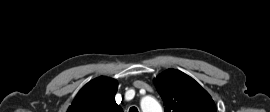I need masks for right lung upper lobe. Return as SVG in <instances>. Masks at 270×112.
<instances>
[{
    "label": "right lung upper lobe",
    "instance_id": "obj_1",
    "mask_svg": "<svg viewBox=\"0 0 270 112\" xmlns=\"http://www.w3.org/2000/svg\"><path fill=\"white\" fill-rule=\"evenodd\" d=\"M117 87L115 79L95 78L80 90L67 112H123L115 102Z\"/></svg>",
    "mask_w": 270,
    "mask_h": 112
}]
</instances>
